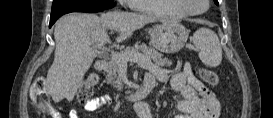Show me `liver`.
Masks as SVG:
<instances>
[{
	"label": "liver",
	"instance_id": "obj_1",
	"mask_svg": "<svg viewBox=\"0 0 273 118\" xmlns=\"http://www.w3.org/2000/svg\"><path fill=\"white\" fill-rule=\"evenodd\" d=\"M156 20L152 15L116 11L100 17L78 13L65 15L54 29L56 46L46 79L47 92L55 102L64 98L72 101L97 56L91 45L110 43L107 29L118 30L120 35L116 40L121 42Z\"/></svg>",
	"mask_w": 273,
	"mask_h": 118
}]
</instances>
